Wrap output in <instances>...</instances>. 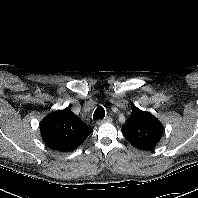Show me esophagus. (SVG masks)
Returning a JSON list of instances; mask_svg holds the SVG:
<instances>
[{
	"instance_id": "obj_1",
	"label": "esophagus",
	"mask_w": 198,
	"mask_h": 198,
	"mask_svg": "<svg viewBox=\"0 0 198 198\" xmlns=\"http://www.w3.org/2000/svg\"><path fill=\"white\" fill-rule=\"evenodd\" d=\"M110 122H112V118L110 116H107L105 119L97 120L98 125H101L104 123H110Z\"/></svg>"
}]
</instances>
